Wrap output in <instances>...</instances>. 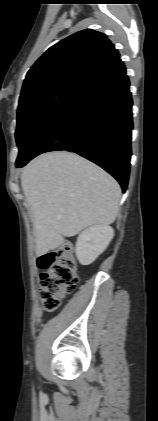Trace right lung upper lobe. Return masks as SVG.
Listing matches in <instances>:
<instances>
[{
	"label": "right lung upper lobe",
	"instance_id": "obj_1",
	"mask_svg": "<svg viewBox=\"0 0 158 421\" xmlns=\"http://www.w3.org/2000/svg\"><path fill=\"white\" fill-rule=\"evenodd\" d=\"M119 56L105 34L79 31L53 45L36 61L26 75L20 99L58 83L84 84Z\"/></svg>",
	"mask_w": 158,
	"mask_h": 421
}]
</instances>
